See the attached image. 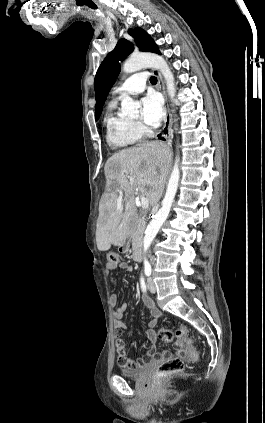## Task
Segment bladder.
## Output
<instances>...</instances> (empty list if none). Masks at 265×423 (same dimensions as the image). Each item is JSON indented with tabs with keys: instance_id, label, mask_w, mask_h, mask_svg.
<instances>
[{
	"instance_id": "31cf9c89",
	"label": "bladder",
	"mask_w": 265,
	"mask_h": 423,
	"mask_svg": "<svg viewBox=\"0 0 265 423\" xmlns=\"http://www.w3.org/2000/svg\"><path fill=\"white\" fill-rule=\"evenodd\" d=\"M147 369L148 365L139 368H122L120 370V374L128 378H139L146 372Z\"/></svg>"
}]
</instances>
